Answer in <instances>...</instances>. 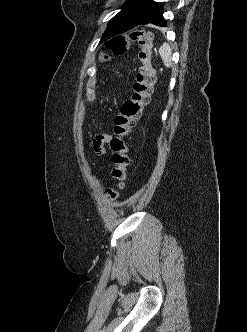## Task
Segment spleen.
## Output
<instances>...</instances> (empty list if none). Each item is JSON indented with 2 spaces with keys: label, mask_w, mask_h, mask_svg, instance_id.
Listing matches in <instances>:
<instances>
[{
  "label": "spleen",
  "mask_w": 247,
  "mask_h": 332,
  "mask_svg": "<svg viewBox=\"0 0 247 332\" xmlns=\"http://www.w3.org/2000/svg\"><path fill=\"white\" fill-rule=\"evenodd\" d=\"M159 54L163 60L164 65L170 68L172 66V51L169 44L164 43L159 49Z\"/></svg>",
  "instance_id": "3e777b00"
}]
</instances>
